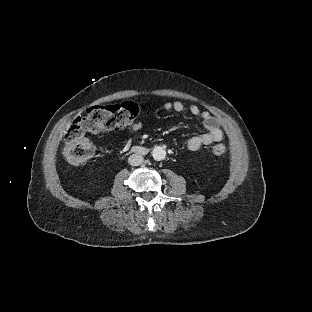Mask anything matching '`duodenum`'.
<instances>
[{
    "instance_id": "410a0bca",
    "label": "duodenum",
    "mask_w": 312,
    "mask_h": 312,
    "mask_svg": "<svg viewBox=\"0 0 312 312\" xmlns=\"http://www.w3.org/2000/svg\"><path fill=\"white\" fill-rule=\"evenodd\" d=\"M132 150L136 153V154H139V155H143L146 153V149L144 147H141V146H134L132 148Z\"/></svg>"
}]
</instances>
